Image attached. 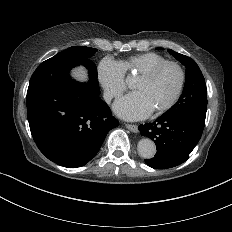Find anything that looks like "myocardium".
<instances>
[{
    "label": "myocardium",
    "mask_w": 232,
    "mask_h": 232,
    "mask_svg": "<svg viewBox=\"0 0 232 232\" xmlns=\"http://www.w3.org/2000/svg\"><path fill=\"white\" fill-rule=\"evenodd\" d=\"M167 66H174L177 68V70L180 73V85L178 90L176 91L175 95L173 96V98L170 100V102H168L165 106L155 110L156 114H163L165 112H168L169 110H171L179 101L184 88H185V84H186V72L184 70V68L182 67L181 64H179L178 62L175 61H165L163 63L157 64L156 66H154L153 68H151L150 70H148L147 72L143 73L142 75H140L138 77V79L143 80V81H149L151 79H153L158 72H160L163 68L167 67Z\"/></svg>",
    "instance_id": "f54148a6"
}]
</instances>
